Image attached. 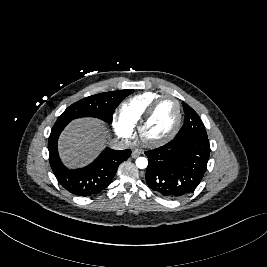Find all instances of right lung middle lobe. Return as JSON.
I'll return each mask as SVG.
<instances>
[{
	"label": "right lung middle lobe",
	"mask_w": 267,
	"mask_h": 267,
	"mask_svg": "<svg viewBox=\"0 0 267 267\" xmlns=\"http://www.w3.org/2000/svg\"><path fill=\"white\" fill-rule=\"evenodd\" d=\"M133 92L132 89L110 91L81 99L69 106L55 124L69 123L80 117H96L111 123L116 107Z\"/></svg>",
	"instance_id": "right-lung-middle-lobe-1"
}]
</instances>
